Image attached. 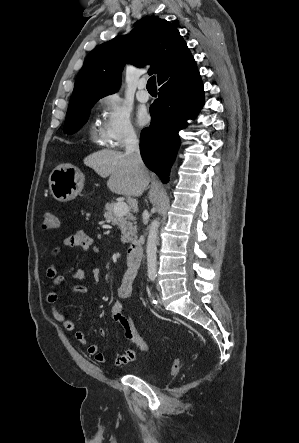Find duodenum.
Masks as SVG:
<instances>
[{
  "mask_svg": "<svg viewBox=\"0 0 299 443\" xmlns=\"http://www.w3.org/2000/svg\"><path fill=\"white\" fill-rule=\"evenodd\" d=\"M143 256L142 243L137 240L131 243L127 249V263L129 265H139Z\"/></svg>",
  "mask_w": 299,
  "mask_h": 443,
  "instance_id": "duodenum-1",
  "label": "duodenum"
}]
</instances>
